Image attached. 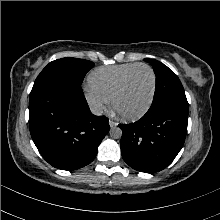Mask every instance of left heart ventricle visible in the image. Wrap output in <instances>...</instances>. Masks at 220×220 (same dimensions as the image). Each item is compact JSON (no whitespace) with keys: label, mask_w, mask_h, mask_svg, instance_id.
I'll list each match as a JSON object with an SVG mask.
<instances>
[{"label":"left heart ventricle","mask_w":220,"mask_h":220,"mask_svg":"<svg viewBox=\"0 0 220 220\" xmlns=\"http://www.w3.org/2000/svg\"><path fill=\"white\" fill-rule=\"evenodd\" d=\"M152 90V76L148 69H136L116 101L120 113L131 115L140 112L147 104Z\"/></svg>","instance_id":"left-heart-ventricle-1"}]
</instances>
